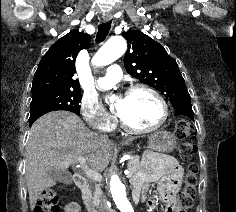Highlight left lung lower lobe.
Wrapping results in <instances>:
<instances>
[{"instance_id": "obj_1", "label": "left lung lower lobe", "mask_w": 236, "mask_h": 212, "mask_svg": "<svg viewBox=\"0 0 236 212\" xmlns=\"http://www.w3.org/2000/svg\"><path fill=\"white\" fill-rule=\"evenodd\" d=\"M176 113L175 115H183V116H187L190 119L193 120V110H192V106L191 103H185V102H181L178 105L174 106Z\"/></svg>"}]
</instances>
